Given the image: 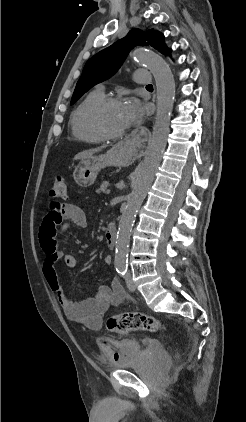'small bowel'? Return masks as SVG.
Wrapping results in <instances>:
<instances>
[{"instance_id":"c3829d8e","label":"small bowel","mask_w":246,"mask_h":422,"mask_svg":"<svg viewBox=\"0 0 246 422\" xmlns=\"http://www.w3.org/2000/svg\"><path fill=\"white\" fill-rule=\"evenodd\" d=\"M66 231L70 225L86 228L87 220L81 208L73 204H52L46 213L39 231L40 245L45 254L43 273L50 289L57 295L65 316L72 322L93 330L103 326L104 314L112 306L118 305L124 298V291L117 279H113L111 287H98L91 297L73 301L61 288L57 263L62 261L68 268L76 265V259L64 253L58 246V226ZM111 264L110 256L104 258Z\"/></svg>"}]
</instances>
